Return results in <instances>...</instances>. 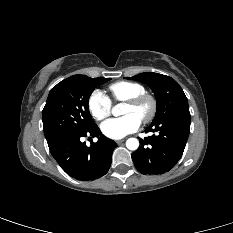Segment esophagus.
<instances>
[{"label":"esophagus","instance_id":"obj_1","mask_svg":"<svg viewBox=\"0 0 233 233\" xmlns=\"http://www.w3.org/2000/svg\"><path fill=\"white\" fill-rule=\"evenodd\" d=\"M124 142V140H117L116 141V143L119 145V144H121V143H123Z\"/></svg>","mask_w":233,"mask_h":233}]
</instances>
